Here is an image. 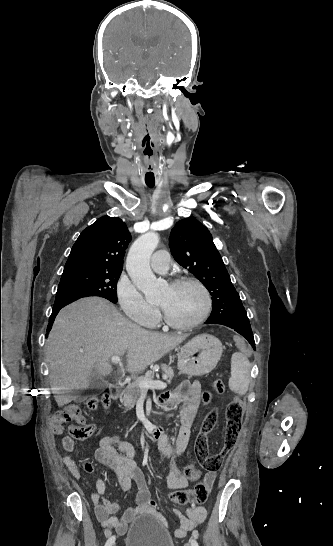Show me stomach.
<instances>
[{"label":"stomach","mask_w":333,"mask_h":546,"mask_svg":"<svg viewBox=\"0 0 333 546\" xmlns=\"http://www.w3.org/2000/svg\"><path fill=\"white\" fill-rule=\"evenodd\" d=\"M223 351L221 341L210 334H200L188 341L178 355V369L188 376H203L217 365Z\"/></svg>","instance_id":"obj_1"}]
</instances>
